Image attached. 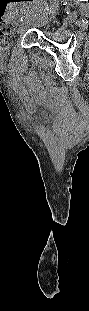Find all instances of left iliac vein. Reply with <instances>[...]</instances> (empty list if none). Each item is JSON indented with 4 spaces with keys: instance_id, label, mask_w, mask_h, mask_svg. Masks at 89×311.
<instances>
[{
    "instance_id": "left-iliac-vein-1",
    "label": "left iliac vein",
    "mask_w": 89,
    "mask_h": 311,
    "mask_svg": "<svg viewBox=\"0 0 89 311\" xmlns=\"http://www.w3.org/2000/svg\"><path fill=\"white\" fill-rule=\"evenodd\" d=\"M51 3H52V4H51V6H50L48 12H47L46 15H45V19H47V18H48V14L50 15V14L54 11V9H55L56 0H51ZM30 23H31V19L27 20V21H26V25H25L24 27H20L18 33H19V34H22L23 31H24V29H25Z\"/></svg>"
}]
</instances>
